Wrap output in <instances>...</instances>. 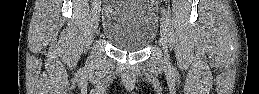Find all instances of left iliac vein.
<instances>
[{"label": "left iliac vein", "mask_w": 259, "mask_h": 94, "mask_svg": "<svg viewBox=\"0 0 259 94\" xmlns=\"http://www.w3.org/2000/svg\"><path fill=\"white\" fill-rule=\"evenodd\" d=\"M161 44L164 52V61L166 63L169 62V55H168V46H167V38H168V19L164 16L161 18Z\"/></svg>", "instance_id": "4c4485c4"}]
</instances>
